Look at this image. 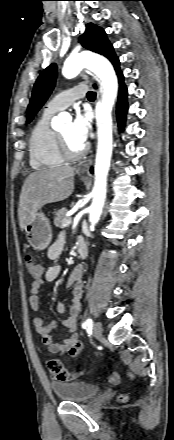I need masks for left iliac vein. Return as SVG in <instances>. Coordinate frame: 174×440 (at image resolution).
Listing matches in <instances>:
<instances>
[{"label":"left iliac vein","mask_w":174,"mask_h":440,"mask_svg":"<svg viewBox=\"0 0 174 440\" xmlns=\"http://www.w3.org/2000/svg\"><path fill=\"white\" fill-rule=\"evenodd\" d=\"M93 333L94 335L98 338L102 335L103 333V327L101 322L97 321L94 326H93Z\"/></svg>","instance_id":"1"}]
</instances>
